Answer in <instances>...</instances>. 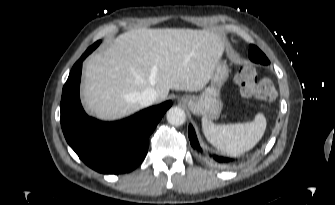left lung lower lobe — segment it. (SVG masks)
Returning <instances> with one entry per match:
<instances>
[{"label": "left lung lower lobe", "instance_id": "0a47b994", "mask_svg": "<svg viewBox=\"0 0 335 205\" xmlns=\"http://www.w3.org/2000/svg\"><path fill=\"white\" fill-rule=\"evenodd\" d=\"M189 139H190V143L193 146V148L202 153V149L199 146L195 131L191 125L189 126ZM214 160L218 163H223V164L224 163L232 164L233 162L232 159L222 158V157H217V156H214Z\"/></svg>", "mask_w": 335, "mask_h": 205}]
</instances>
